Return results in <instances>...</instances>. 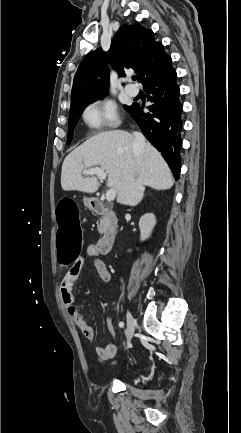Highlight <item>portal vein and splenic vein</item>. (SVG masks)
<instances>
[{
  "mask_svg": "<svg viewBox=\"0 0 241 433\" xmlns=\"http://www.w3.org/2000/svg\"><path fill=\"white\" fill-rule=\"evenodd\" d=\"M83 174L84 175H97L101 180L106 179V173L101 168L86 169V170H83ZM115 197H116V190L114 188H111L110 190L107 191L106 200L108 202L113 201L115 199Z\"/></svg>",
  "mask_w": 241,
  "mask_h": 433,
  "instance_id": "obj_1",
  "label": "portal vein and splenic vein"
}]
</instances>
